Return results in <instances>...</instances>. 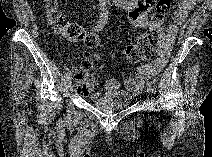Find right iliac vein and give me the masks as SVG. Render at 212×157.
<instances>
[{
    "label": "right iliac vein",
    "instance_id": "obj_1",
    "mask_svg": "<svg viewBox=\"0 0 212 157\" xmlns=\"http://www.w3.org/2000/svg\"><path fill=\"white\" fill-rule=\"evenodd\" d=\"M71 84H72L71 77L70 78H67V80L65 82L66 88L67 89H70L71 88Z\"/></svg>",
    "mask_w": 212,
    "mask_h": 157
}]
</instances>
